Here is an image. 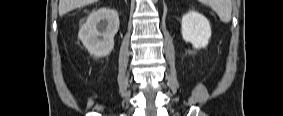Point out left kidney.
<instances>
[{
    "mask_svg": "<svg viewBox=\"0 0 283 116\" xmlns=\"http://www.w3.org/2000/svg\"><path fill=\"white\" fill-rule=\"evenodd\" d=\"M181 32L184 41L200 49L208 45L211 37L210 23L197 11H189L182 17Z\"/></svg>",
    "mask_w": 283,
    "mask_h": 116,
    "instance_id": "left-kidney-1",
    "label": "left kidney"
}]
</instances>
